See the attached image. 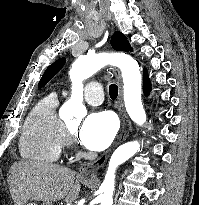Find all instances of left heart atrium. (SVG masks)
Returning <instances> with one entry per match:
<instances>
[{
  "instance_id": "1",
  "label": "left heart atrium",
  "mask_w": 199,
  "mask_h": 205,
  "mask_svg": "<svg viewBox=\"0 0 199 205\" xmlns=\"http://www.w3.org/2000/svg\"><path fill=\"white\" fill-rule=\"evenodd\" d=\"M117 132V121L108 111L91 113L78 131L79 141L92 151H102L113 141Z\"/></svg>"
}]
</instances>
